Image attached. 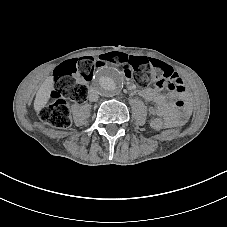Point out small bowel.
I'll return each mask as SVG.
<instances>
[{"label":"small bowel","instance_id":"1","mask_svg":"<svg viewBox=\"0 0 227 227\" xmlns=\"http://www.w3.org/2000/svg\"><path fill=\"white\" fill-rule=\"evenodd\" d=\"M184 91L185 88L183 87L181 94ZM140 95L147 101L154 103V106L150 108L152 115L171 117L176 123H182L188 117L189 108L183 98L177 100L175 104H170L155 89L147 87L140 90Z\"/></svg>","mask_w":227,"mask_h":227}]
</instances>
